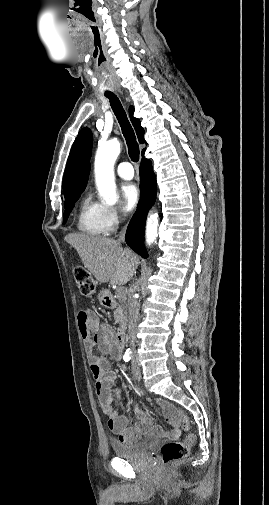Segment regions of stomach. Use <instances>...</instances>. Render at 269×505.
<instances>
[{"mask_svg":"<svg viewBox=\"0 0 269 505\" xmlns=\"http://www.w3.org/2000/svg\"><path fill=\"white\" fill-rule=\"evenodd\" d=\"M100 302H101V304H103L104 301L102 299H100Z\"/></svg>","mask_w":269,"mask_h":505,"instance_id":"stomach-1","label":"stomach"}]
</instances>
